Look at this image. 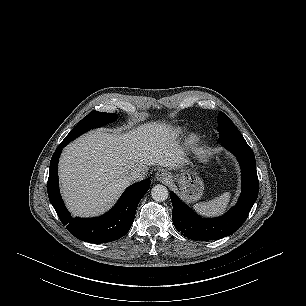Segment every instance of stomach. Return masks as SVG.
Listing matches in <instances>:
<instances>
[{
    "label": "stomach",
    "instance_id": "1",
    "mask_svg": "<svg viewBox=\"0 0 306 306\" xmlns=\"http://www.w3.org/2000/svg\"><path fill=\"white\" fill-rule=\"evenodd\" d=\"M174 180L179 184L181 196L186 202H195L203 195L204 183L196 171L185 168Z\"/></svg>",
    "mask_w": 306,
    "mask_h": 306
}]
</instances>
